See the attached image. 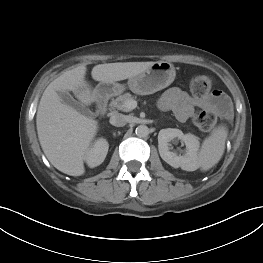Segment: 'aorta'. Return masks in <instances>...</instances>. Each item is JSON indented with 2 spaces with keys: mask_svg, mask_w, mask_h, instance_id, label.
Wrapping results in <instances>:
<instances>
[{
  "mask_svg": "<svg viewBox=\"0 0 263 263\" xmlns=\"http://www.w3.org/2000/svg\"><path fill=\"white\" fill-rule=\"evenodd\" d=\"M135 133L138 137L140 138H145L149 135V128L146 125H139L136 130Z\"/></svg>",
  "mask_w": 263,
  "mask_h": 263,
  "instance_id": "aorta-1",
  "label": "aorta"
}]
</instances>
